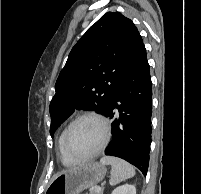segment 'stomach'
<instances>
[{"label":"stomach","instance_id":"0dacf381","mask_svg":"<svg viewBox=\"0 0 201 194\" xmlns=\"http://www.w3.org/2000/svg\"><path fill=\"white\" fill-rule=\"evenodd\" d=\"M104 165L91 162L57 174L49 184L46 194H80L104 179Z\"/></svg>","mask_w":201,"mask_h":194}]
</instances>
